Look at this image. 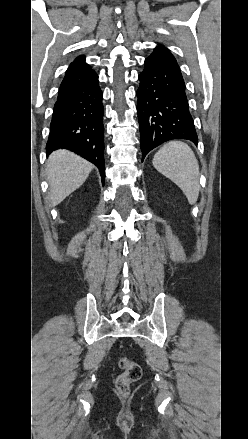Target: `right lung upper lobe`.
<instances>
[{
  "label": "right lung upper lobe",
  "mask_w": 248,
  "mask_h": 439,
  "mask_svg": "<svg viewBox=\"0 0 248 439\" xmlns=\"http://www.w3.org/2000/svg\"><path fill=\"white\" fill-rule=\"evenodd\" d=\"M87 64L85 63V56L80 55L78 56L74 62H72L69 66V68L66 71V74L72 73L74 71H77L81 68H83L84 66H86Z\"/></svg>",
  "instance_id": "obj_1"
}]
</instances>
